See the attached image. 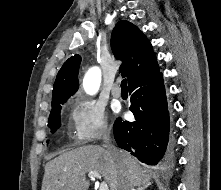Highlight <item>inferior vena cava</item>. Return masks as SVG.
<instances>
[{"label":"inferior vena cava","instance_id":"602c4592","mask_svg":"<svg viewBox=\"0 0 221 190\" xmlns=\"http://www.w3.org/2000/svg\"><path fill=\"white\" fill-rule=\"evenodd\" d=\"M103 140H104V143H105V148L112 154V156L118 162H120L121 161V156H120L119 150L115 146L110 144V132L109 131L105 132V134L103 136ZM119 190H132L131 185L128 182V180L125 177V175L121 179Z\"/></svg>","mask_w":221,"mask_h":190}]
</instances>
